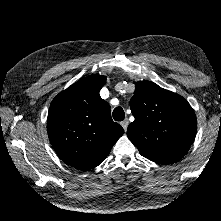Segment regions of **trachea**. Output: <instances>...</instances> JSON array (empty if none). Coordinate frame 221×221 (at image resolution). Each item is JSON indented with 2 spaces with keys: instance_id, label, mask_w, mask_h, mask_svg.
Masks as SVG:
<instances>
[{
  "instance_id": "trachea-1",
  "label": "trachea",
  "mask_w": 221,
  "mask_h": 221,
  "mask_svg": "<svg viewBox=\"0 0 221 221\" xmlns=\"http://www.w3.org/2000/svg\"><path fill=\"white\" fill-rule=\"evenodd\" d=\"M125 118V112L122 107H116L113 111V119L115 121H123Z\"/></svg>"
}]
</instances>
